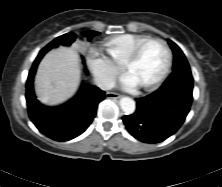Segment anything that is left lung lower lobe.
Instances as JSON below:
<instances>
[{
  "instance_id": "left-lung-lower-lobe-1",
  "label": "left lung lower lobe",
  "mask_w": 222,
  "mask_h": 187,
  "mask_svg": "<svg viewBox=\"0 0 222 187\" xmlns=\"http://www.w3.org/2000/svg\"><path fill=\"white\" fill-rule=\"evenodd\" d=\"M190 69L172 73L155 92L136 99V110L123 116L130 134L144 143H158L173 135L190 111L193 96Z\"/></svg>"
}]
</instances>
